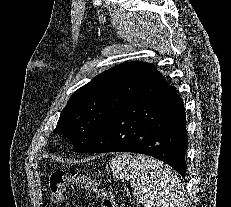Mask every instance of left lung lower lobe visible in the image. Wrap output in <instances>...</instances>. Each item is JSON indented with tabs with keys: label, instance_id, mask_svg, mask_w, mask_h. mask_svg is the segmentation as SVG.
Wrapping results in <instances>:
<instances>
[{
	"label": "left lung lower lobe",
	"instance_id": "obj_1",
	"mask_svg": "<svg viewBox=\"0 0 231 207\" xmlns=\"http://www.w3.org/2000/svg\"><path fill=\"white\" fill-rule=\"evenodd\" d=\"M187 145L183 100L154 68L140 92L109 120L85 152L127 151L150 155L185 178Z\"/></svg>",
	"mask_w": 231,
	"mask_h": 207
}]
</instances>
